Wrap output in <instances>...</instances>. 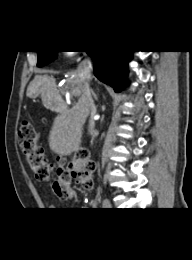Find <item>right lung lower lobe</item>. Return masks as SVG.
Returning a JSON list of instances; mask_svg holds the SVG:
<instances>
[{"label":"right lung lower lobe","mask_w":192,"mask_h":260,"mask_svg":"<svg viewBox=\"0 0 192 260\" xmlns=\"http://www.w3.org/2000/svg\"><path fill=\"white\" fill-rule=\"evenodd\" d=\"M94 62V74L102 82L112 86L115 91L124 87L127 66L133 51H86Z\"/></svg>","instance_id":"obj_1"}]
</instances>
